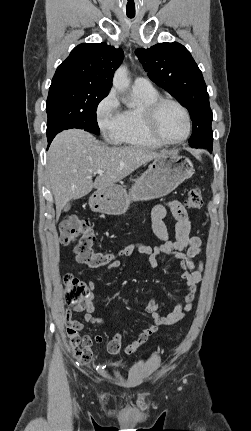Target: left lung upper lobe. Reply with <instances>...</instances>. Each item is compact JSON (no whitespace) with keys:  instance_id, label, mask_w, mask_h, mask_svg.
I'll return each mask as SVG.
<instances>
[{"instance_id":"obj_1","label":"left lung upper lobe","mask_w":251,"mask_h":431,"mask_svg":"<svg viewBox=\"0 0 251 431\" xmlns=\"http://www.w3.org/2000/svg\"><path fill=\"white\" fill-rule=\"evenodd\" d=\"M149 78L185 106L193 121L189 145L212 151V111L202 73L190 52L180 43H159L135 51Z\"/></svg>"}]
</instances>
